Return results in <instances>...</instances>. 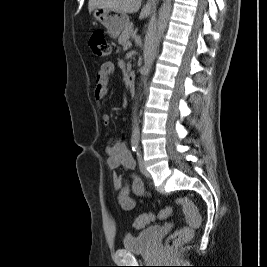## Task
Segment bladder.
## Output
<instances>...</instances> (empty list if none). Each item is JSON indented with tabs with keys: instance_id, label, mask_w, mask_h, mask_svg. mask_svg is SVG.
I'll return each mask as SVG.
<instances>
[{
	"instance_id": "bladder-1",
	"label": "bladder",
	"mask_w": 267,
	"mask_h": 267,
	"mask_svg": "<svg viewBox=\"0 0 267 267\" xmlns=\"http://www.w3.org/2000/svg\"><path fill=\"white\" fill-rule=\"evenodd\" d=\"M160 229V226L154 225L136 234H126L123 238V248L132 253L148 251L158 236Z\"/></svg>"
}]
</instances>
